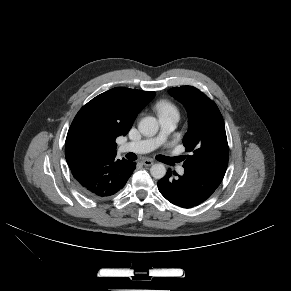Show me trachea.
I'll return each mask as SVG.
<instances>
[{"mask_svg":"<svg viewBox=\"0 0 291 291\" xmlns=\"http://www.w3.org/2000/svg\"><path fill=\"white\" fill-rule=\"evenodd\" d=\"M129 159L130 160H135L136 159V156L134 154L132 155H129ZM162 160L166 163H173V162H177V158H168V157H164L162 156Z\"/></svg>","mask_w":291,"mask_h":291,"instance_id":"obj_1","label":"trachea"}]
</instances>
